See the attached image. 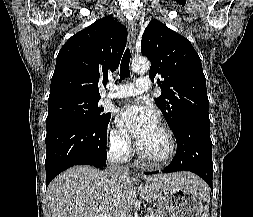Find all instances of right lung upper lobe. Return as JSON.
Masks as SVG:
<instances>
[{
    "label": "right lung upper lobe",
    "mask_w": 253,
    "mask_h": 217,
    "mask_svg": "<svg viewBox=\"0 0 253 217\" xmlns=\"http://www.w3.org/2000/svg\"><path fill=\"white\" fill-rule=\"evenodd\" d=\"M127 29L106 16L69 38L58 53L48 102L68 97L100 98L98 82L120 64Z\"/></svg>",
    "instance_id": "cb5924a9"
}]
</instances>
